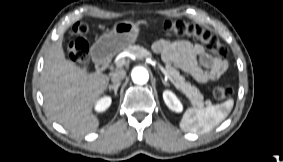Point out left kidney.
<instances>
[{"label": "left kidney", "mask_w": 283, "mask_h": 162, "mask_svg": "<svg viewBox=\"0 0 283 162\" xmlns=\"http://www.w3.org/2000/svg\"><path fill=\"white\" fill-rule=\"evenodd\" d=\"M163 99L165 104L169 109L175 112H181L183 110V106L175 94L169 90L163 92Z\"/></svg>", "instance_id": "obj_1"}]
</instances>
